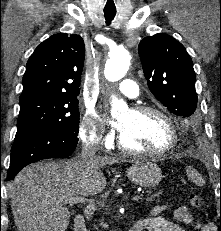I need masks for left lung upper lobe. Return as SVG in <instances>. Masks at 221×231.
I'll return each mask as SVG.
<instances>
[{
    "label": "left lung upper lobe",
    "instance_id": "left-lung-upper-lobe-1",
    "mask_svg": "<svg viewBox=\"0 0 221 231\" xmlns=\"http://www.w3.org/2000/svg\"><path fill=\"white\" fill-rule=\"evenodd\" d=\"M138 52L150 91L170 112L190 117L197 107L196 77L184 46L159 33L141 40Z\"/></svg>",
    "mask_w": 221,
    "mask_h": 231
}]
</instances>
